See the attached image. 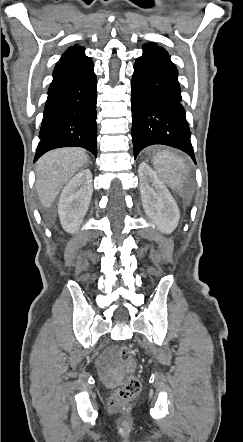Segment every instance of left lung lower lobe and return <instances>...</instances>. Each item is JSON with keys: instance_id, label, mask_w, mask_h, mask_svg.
<instances>
[{"instance_id": "1", "label": "left lung lower lobe", "mask_w": 243, "mask_h": 442, "mask_svg": "<svg viewBox=\"0 0 243 442\" xmlns=\"http://www.w3.org/2000/svg\"><path fill=\"white\" fill-rule=\"evenodd\" d=\"M177 77L163 48L153 43L143 46L131 81L134 158L145 147L162 144L186 152L196 163Z\"/></svg>"}]
</instances>
